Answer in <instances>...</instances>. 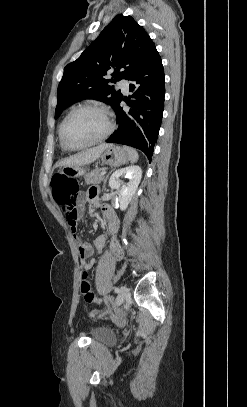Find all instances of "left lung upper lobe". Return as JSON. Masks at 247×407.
Here are the masks:
<instances>
[{
  "mask_svg": "<svg viewBox=\"0 0 247 407\" xmlns=\"http://www.w3.org/2000/svg\"><path fill=\"white\" fill-rule=\"evenodd\" d=\"M155 49L144 28L131 16H115L82 55L65 67L55 118L86 98L103 101L114 109L123 96L109 82L129 80ZM108 71H113V79L104 78Z\"/></svg>",
  "mask_w": 247,
  "mask_h": 407,
  "instance_id": "1",
  "label": "left lung upper lobe"
}]
</instances>
